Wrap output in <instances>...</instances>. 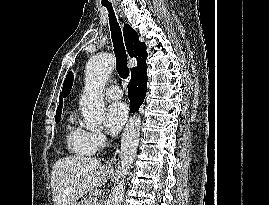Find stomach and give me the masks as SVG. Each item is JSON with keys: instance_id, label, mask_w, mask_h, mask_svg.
Wrapping results in <instances>:
<instances>
[{"instance_id": "1", "label": "stomach", "mask_w": 269, "mask_h": 205, "mask_svg": "<svg viewBox=\"0 0 269 205\" xmlns=\"http://www.w3.org/2000/svg\"><path fill=\"white\" fill-rule=\"evenodd\" d=\"M75 205H84V202H83V201H81V202H76Z\"/></svg>"}]
</instances>
